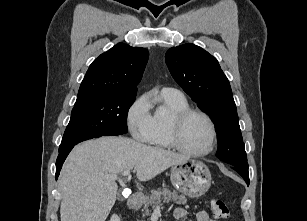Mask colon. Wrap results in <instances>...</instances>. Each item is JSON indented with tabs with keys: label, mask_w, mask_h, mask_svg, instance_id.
Wrapping results in <instances>:
<instances>
[{
	"label": "colon",
	"mask_w": 307,
	"mask_h": 221,
	"mask_svg": "<svg viewBox=\"0 0 307 221\" xmlns=\"http://www.w3.org/2000/svg\"><path fill=\"white\" fill-rule=\"evenodd\" d=\"M211 211L216 218L219 219H229L231 217V212L226 203L220 199L213 198L210 201ZM108 221H121L120 217L113 215Z\"/></svg>",
	"instance_id": "colon-1"
}]
</instances>
